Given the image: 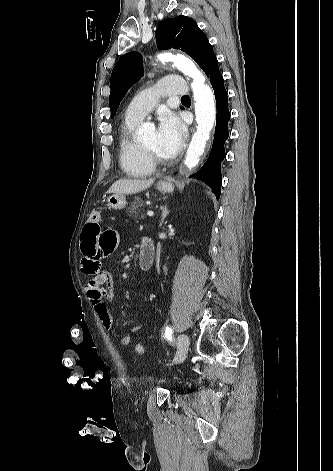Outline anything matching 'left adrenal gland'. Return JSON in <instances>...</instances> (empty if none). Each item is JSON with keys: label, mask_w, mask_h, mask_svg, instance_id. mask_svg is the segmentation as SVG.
I'll return each mask as SVG.
<instances>
[{"label": "left adrenal gland", "mask_w": 333, "mask_h": 471, "mask_svg": "<svg viewBox=\"0 0 333 471\" xmlns=\"http://www.w3.org/2000/svg\"><path fill=\"white\" fill-rule=\"evenodd\" d=\"M162 211V218L160 220V227L163 225V222L166 218V216L169 214V211L167 210V205L161 207Z\"/></svg>", "instance_id": "1"}]
</instances>
